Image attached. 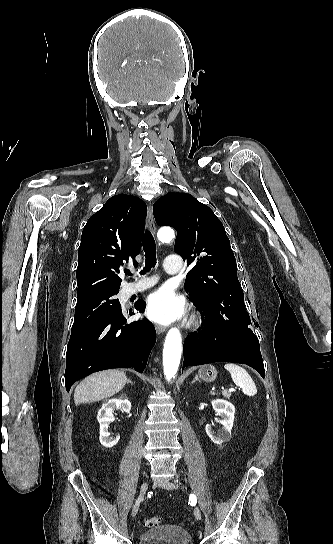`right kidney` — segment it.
Listing matches in <instances>:
<instances>
[{
	"instance_id": "1",
	"label": "right kidney",
	"mask_w": 333,
	"mask_h": 544,
	"mask_svg": "<svg viewBox=\"0 0 333 544\" xmlns=\"http://www.w3.org/2000/svg\"><path fill=\"white\" fill-rule=\"evenodd\" d=\"M115 408H120L123 411L129 413L131 410V402L128 399H110L107 402L103 403L101 409L98 411L97 420L100 424L99 440L104 447L108 448L116 445L120 439L119 435L115 438L110 437V433L108 431L109 424L114 421L113 412Z\"/></svg>"
}]
</instances>
